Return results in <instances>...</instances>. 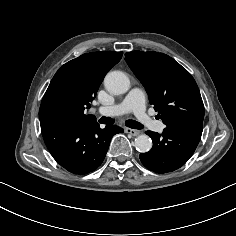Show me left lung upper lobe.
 <instances>
[{
	"instance_id": "1",
	"label": "left lung upper lobe",
	"mask_w": 236,
	"mask_h": 236,
	"mask_svg": "<svg viewBox=\"0 0 236 236\" xmlns=\"http://www.w3.org/2000/svg\"><path fill=\"white\" fill-rule=\"evenodd\" d=\"M125 60L145 87L166 126L202 124L204 105L192 75L174 59L158 52L132 51Z\"/></svg>"
}]
</instances>
